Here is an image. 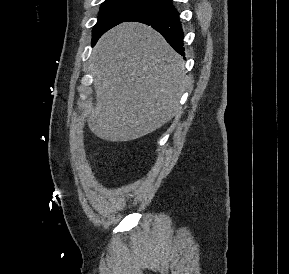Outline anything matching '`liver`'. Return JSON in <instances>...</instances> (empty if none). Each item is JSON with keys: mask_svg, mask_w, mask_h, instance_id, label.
<instances>
[{"mask_svg": "<svg viewBox=\"0 0 289 274\" xmlns=\"http://www.w3.org/2000/svg\"><path fill=\"white\" fill-rule=\"evenodd\" d=\"M96 106L88 127L100 139L126 142L161 128L180 112L184 61L149 26L125 22L95 45Z\"/></svg>", "mask_w": 289, "mask_h": 274, "instance_id": "liver-1", "label": "liver"}]
</instances>
